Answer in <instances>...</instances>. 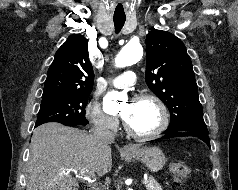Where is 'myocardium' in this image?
<instances>
[{
    "instance_id": "1",
    "label": "myocardium",
    "mask_w": 238,
    "mask_h": 190,
    "mask_svg": "<svg viewBox=\"0 0 238 190\" xmlns=\"http://www.w3.org/2000/svg\"><path fill=\"white\" fill-rule=\"evenodd\" d=\"M133 100H149V101L153 102L159 110L160 123L154 130H152L150 132L141 133V132H137V131L133 130L128 125V123L124 120L123 126H124L125 131L131 137H133L135 139H140V140L153 139V138H156L159 135H161L167 129V127L169 125V113H168L167 107L164 104V102L155 94L147 93V92L136 94L133 97Z\"/></svg>"
}]
</instances>
